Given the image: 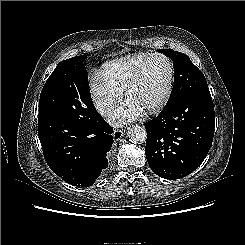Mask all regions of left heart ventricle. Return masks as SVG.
I'll use <instances>...</instances> for the list:
<instances>
[{"mask_svg": "<svg viewBox=\"0 0 245 245\" xmlns=\"http://www.w3.org/2000/svg\"><path fill=\"white\" fill-rule=\"evenodd\" d=\"M167 80V62L162 58H152L147 64L140 82L130 92L128 99L145 110L162 96Z\"/></svg>", "mask_w": 245, "mask_h": 245, "instance_id": "1", "label": "left heart ventricle"}]
</instances>
